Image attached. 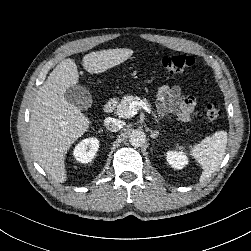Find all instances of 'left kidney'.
I'll return each instance as SVG.
<instances>
[{
    "label": "left kidney",
    "instance_id": "5707ae66",
    "mask_svg": "<svg viewBox=\"0 0 251 251\" xmlns=\"http://www.w3.org/2000/svg\"><path fill=\"white\" fill-rule=\"evenodd\" d=\"M168 163L175 169H182L188 164V158L180 152L168 151L166 153Z\"/></svg>",
    "mask_w": 251,
    "mask_h": 251
}]
</instances>
